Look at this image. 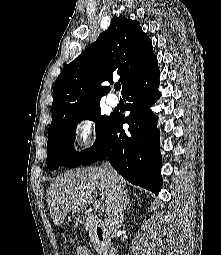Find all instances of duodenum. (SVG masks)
I'll use <instances>...</instances> for the list:
<instances>
[{"instance_id":"410a0bca","label":"duodenum","mask_w":221,"mask_h":255,"mask_svg":"<svg viewBox=\"0 0 221 255\" xmlns=\"http://www.w3.org/2000/svg\"><path fill=\"white\" fill-rule=\"evenodd\" d=\"M79 219L81 221H88L90 219V216L86 213H81L79 215ZM95 233L97 237V241L100 245H104V228L101 225L96 224L95 225ZM104 255H118L117 251L113 248H105L104 249Z\"/></svg>"}]
</instances>
